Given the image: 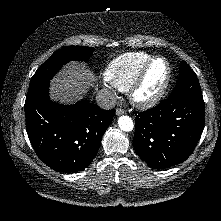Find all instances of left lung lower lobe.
I'll list each match as a JSON object with an SVG mask.
<instances>
[{"label": "left lung lower lobe", "instance_id": "0a47b994", "mask_svg": "<svg viewBox=\"0 0 221 221\" xmlns=\"http://www.w3.org/2000/svg\"><path fill=\"white\" fill-rule=\"evenodd\" d=\"M204 101L168 97L136 116L133 147L151 168L164 169L185 161L204 128Z\"/></svg>", "mask_w": 221, "mask_h": 221}]
</instances>
